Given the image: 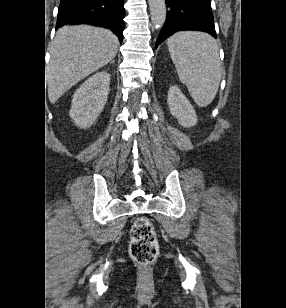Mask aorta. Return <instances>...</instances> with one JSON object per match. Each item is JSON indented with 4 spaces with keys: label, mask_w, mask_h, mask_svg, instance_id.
<instances>
[{
    "label": "aorta",
    "mask_w": 286,
    "mask_h": 308,
    "mask_svg": "<svg viewBox=\"0 0 286 308\" xmlns=\"http://www.w3.org/2000/svg\"><path fill=\"white\" fill-rule=\"evenodd\" d=\"M151 14V21L155 29H160L166 20L165 0H148Z\"/></svg>",
    "instance_id": "1"
}]
</instances>
